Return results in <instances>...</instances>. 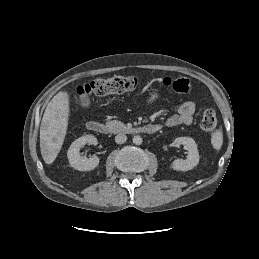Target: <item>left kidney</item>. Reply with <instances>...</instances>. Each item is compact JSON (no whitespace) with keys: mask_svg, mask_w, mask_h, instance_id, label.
Returning <instances> with one entry per match:
<instances>
[{"mask_svg":"<svg viewBox=\"0 0 259 259\" xmlns=\"http://www.w3.org/2000/svg\"><path fill=\"white\" fill-rule=\"evenodd\" d=\"M175 144L183 145L187 150L186 159H176L172 162V168L176 171H188L199 163V152L193 138L178 137L174 140Z\"/></svg>","mask_w":259,"mask_h":259,"instance_id":"1","label":"left kidney"}]
</instances>
